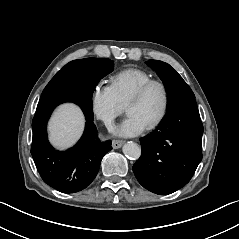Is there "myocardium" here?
Wrapping results in <instances>:
<instances>
[{"mask_svg":"<svg viewBox=\"0 0 239 239\" xmlns=\"http://www.w3.org/2000/svg\"><path fill=\"white\" fill-rule=\"evenodd\" d=\"M153 86H159L161 87L163 94H164V105H163V109L161 111V113L159 114V116L148 126H146V128L148 130H154L157 127H159L164 120L166 119L169 110H170V106H171V95H170V90L167 86V84L159 79H151L148 82L142 84L129 98L127 104H126V111L129 105H131L132 103H135L137 101H140L145 94L148 92V90L153 87Z\"/></svg>","mask_w":239,"mask_h":239,"instance_id":"myocardium-1","label":"myocardium"}]
</instances>
